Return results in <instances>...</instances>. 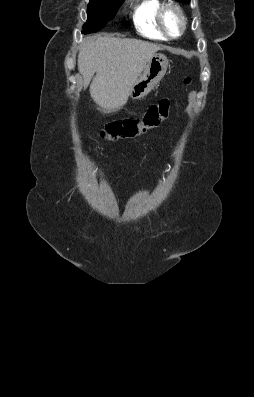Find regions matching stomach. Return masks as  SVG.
<instances>
[{
  "label": "stomach",
  "mask_w": 254,
  "mask_h": 397,
  "mask_svg": "<svg viewBox=\"0 0 254 397\" xmlns=\"http://www.w3.org/2000/svg\"><path fill=\"white\" fill-rule=\"evenodd\" d=\"M167 67V57L161 53L154 54L147 62L143 73L131 87L129 97L132 100L145 97L164 77Z\"/></svg>",
  "instance_id": "stomach-1"
}]
</instances>
